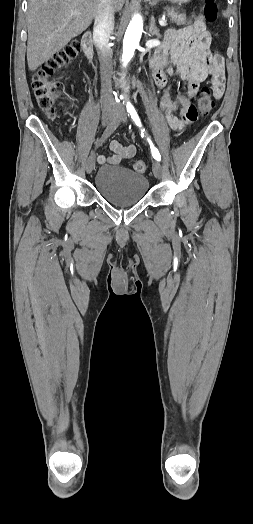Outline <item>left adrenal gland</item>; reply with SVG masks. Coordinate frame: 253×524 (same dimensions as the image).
<instances>
[{"mask_svg":"<svg viewBox=\"0 0 253 524\" xmlns=\"http://www.w3.org/2000/svg\"><path fill=\"white\" fill-rule=\"evenodd\" d=\"M149 33L150 35L156 36L157 38L160 37L159 29L155 25L154 16H152L150 20Z\"/></svg>","mask_w":253,"mask_h":524,"instance_id":"left-adrenal-gland-1","label":"left adrenal gland"}]
</instances>
